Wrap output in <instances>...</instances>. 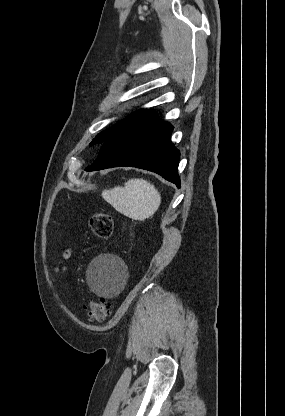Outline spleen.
I'll list each match as a JSON object with an SVG mask.
<instances>
[{
    "instance_id": "3e777b00",
    "label": "spleen",
    "mask_w": 285,
    "mask_h": 416,
    "mask_svg": "<svg viewBox=\"0 0 285 416\" xmlns=\"http://www.w3.org/2000/svg\"><path fill=\"white\" fill-rule=\"evenodd\" d=\"M101 196L117 212L132 220L150 218L161 204V196L150 182L134 178L125 182L124 188L115 186L111 190H103Z\"/></svg>"
}]
</instances>
